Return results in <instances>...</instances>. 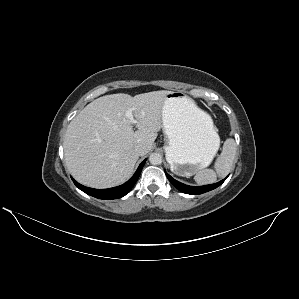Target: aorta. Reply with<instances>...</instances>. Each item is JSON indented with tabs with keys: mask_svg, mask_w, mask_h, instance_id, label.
<instances>
[{
	"mask_svg": "<svg viewBox=\"0 0 299 299\" xmlns=\"http://www.w3.org/2000/svg\"><path fill=\"white\" fill-rule=\"evenodd\" d=\"M149 162L152 165H160L162 163V156L159 153H152L149 157Z\"/></svg>",
	"mask_w": 299,
	"mask_h": 299,
	"instance_id": "762f6f07",
	"label": "aorta"
}]
</instances>
